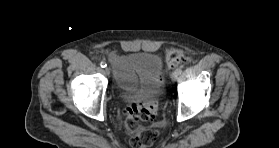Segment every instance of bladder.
Instances as JSON below:
<instances>
[{
    "label": "bladder",
    "mask_w": 279,
    "mask_h": 148,
    "mask_svg": "<svg viewBox=\"0 0 279 148\" xmlns=\"http://www.w3.org/2000/svg\"><path fill=\"white\" fill-rule=\"evenodd\" d=\"M124 60L139 78L138 90L125 94V101L145 100L154 96L163 85L161 58L149 52H135L128 54Z\"/></svg>",
    "instance_id": "bladder-1"
}]
</instances>
